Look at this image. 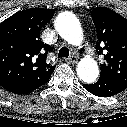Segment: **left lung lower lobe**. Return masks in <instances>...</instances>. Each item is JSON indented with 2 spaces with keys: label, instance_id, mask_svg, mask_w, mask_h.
Here are the masks:
<instances>
[{
  "label": "left lung lower lobe",
  "instance_id": "left-lung-lower-lobe-1",
  "mask_svg": "<svg viewBox=\"0 0 127 127\" xmlns=\"http://www.w3.org/2000/svg\"><path fill=\"white\" fill-rule=\"evenodd\" d=\"M83 87L96 96L109 97L122 92L127 88V85H124L115 79L100 75V78L96 83L83 84Z\"/></svg>",
  "mask_w": 127,
  "mask_h": 127
}]
</instances>
